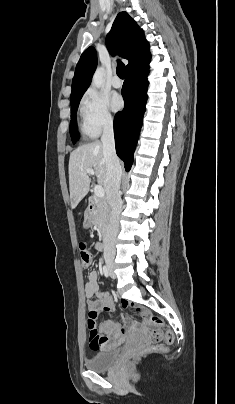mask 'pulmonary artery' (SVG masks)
<instances>
[{"label":"pulmonary artery","instance_id":"obj_1","mask_svg":"<svg viewBox=\"0 0 235 404\" xmlns=\"http://www.w3.org/2000/svg\"><path fill=\"white\" fill-rule=\"evenodd\" d=\"M111 84L114 88H120L122 86V82L117 76L113 77Z\"/></svg>","mask_w":235,"mask_h":404}]
</instances>
